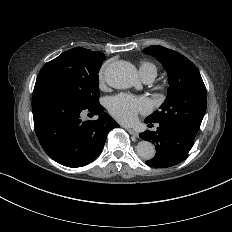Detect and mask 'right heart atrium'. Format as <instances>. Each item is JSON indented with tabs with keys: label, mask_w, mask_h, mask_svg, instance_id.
<instances>
[{
	"label": "right heart atrium",
	"mask_w": 232,
	"mask_h": 232,
	"mask_svg": "<svg viewBox=\"0 0 232 232\" xmlns=\"http://www.w3.org/2000/svg\"><path fill=\"white\" fill-rule=\"evenodd\" d=\"M108 65V64H107ZM107 65L101 70V77L106 81L105 79V70H106V67Z\"/></svg>",
	"instance_id": "d8ad5b80"
}]
</instances>
